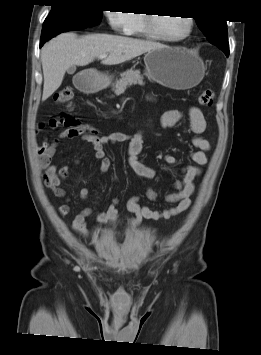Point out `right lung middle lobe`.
<instances>
[{"instance_id": "dd1d6c3e", "label": "right lung middle lobe", "mask_w": 261, "mask_h": 355, "mask_svg": "<svg viewBox=\"0 0 261 355\" xmlns=\"http://www.w3.org/2000/svg\"><path fill=\"white\" fill-rule=\"evenodd\" d=\"M102 11L90 0H63L52 4L45 21L71 18L93 27L101 22Z\"/></svg>"}]
</instances>
